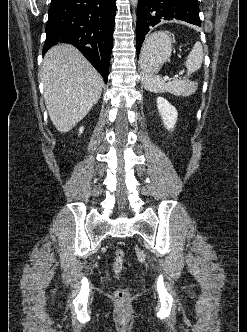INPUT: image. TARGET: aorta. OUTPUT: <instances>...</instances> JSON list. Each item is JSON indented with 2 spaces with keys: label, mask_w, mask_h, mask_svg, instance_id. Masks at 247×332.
<instances>
[{
  "label": "aorta",
  "mask_w": 247,
  "mask_h": 332,
  "mask_svg": "<svg viewBox=\"0 0 247 332\" xmlns=\"http://www.w3.org/2000/svg\"><path fill=\"white\" fill-rule=\"evenodd\" d=\"M137 3H138V0H131V4H132L133 6L137 5Z\"/></svg>",
  "instance_id": "aorta-1"
}]
</instances>
